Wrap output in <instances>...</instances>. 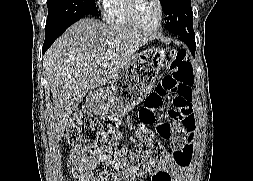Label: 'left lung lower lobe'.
Masks as SVG:
<instances>
[{"label":"left lung lower lobe","instance_id":"0a47b994","mask_svg":"<svg viewBox=\"0 0 253 181\" xmlns=\"http://www.w3.org/2000/svg\"><path fill=\"white\" fill-rule=\"evenodd\" d=\"M175 35L179 37V39L182 40L188 46L192 55L195 56L196 44H195L194 38L183 36V35H177V34Z\"/></svg>","mask_w":253,"mask_h":181}]
</instances>
